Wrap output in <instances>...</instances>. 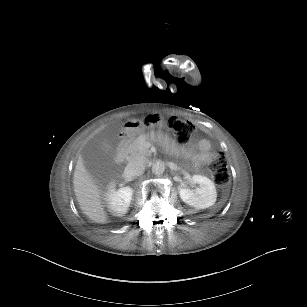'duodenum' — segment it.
Masks as SVG:
<instances>
[{"label":"duodenum","instance_id":"duodenum-1","mask_svg":"<svg viewBox=\"0 0 307 307\" xmlns=\"http://www.w3.org/2000/svg\"><path fill=\"white\" fill-rule=\"evenodd\" d=\"M123 131L125 133H123L121 136L122 145L119 147V152L115 158L117 162H121L123 160L124 154L128 152V147L126 145L132 140V134L130 133L132 131V126L130 124H125L123 126Z\"/></svg>","mask_w":307,"mask_h":307}]
</instances>
